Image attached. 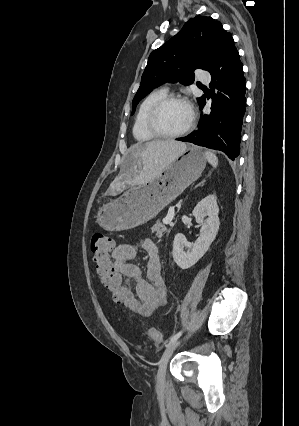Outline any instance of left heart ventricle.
Wrapping results in <instances>:
<instances>
[{"label": "left heart ventricle", "instance_id": "obj_1", "mask_svg": "<svg viewBox=\"0 0 299 426\" xmlns=\"http://www.w3.org/2000/svg\"><path fill=\"white\" fill-rule=\"evenodd\" d=\"M189 120V107L182 102H171L160 112L158 123L163 131L174 133L185 128Z\"/></svg>", "mask_w": 299, "mask_h": 426}]
</instances>
